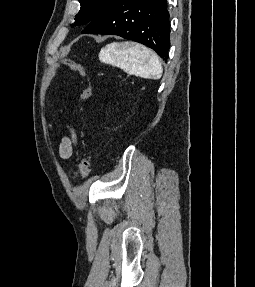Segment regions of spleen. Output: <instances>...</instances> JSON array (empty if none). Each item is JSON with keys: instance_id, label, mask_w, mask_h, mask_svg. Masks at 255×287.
Instances as JSON below:
<instances>
[{"instance_id": "spleen-1", "label": "spleen", "mask_w": 255, "mask_h": 287, "mask_svg": "<svg viewBox=\"0 0 255 287\" xmlns=\"http://www.w3.org/2000/svg\"><path fill=\"white\" fill-rule=\"evenodd\" d=\"M99 60L111 66H127L129 74H137L140 78L148 80H159L163 74L157 54L140 44L136 46H132L129 42L107 44L102 48Z\"/></svg>"}]
</instances>
